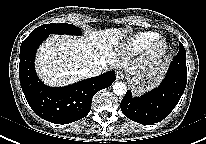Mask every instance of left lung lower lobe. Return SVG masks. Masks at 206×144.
Masks as SVG:
<instances>
[{
	"instance_id": "left-lung-lower-lobe-1",
	"label": "left lung lower lobe",
	"mask_w": 206,
	"mask_h": 144,
	"mask_svg": "<svg viewBox=\"0 0 206 144\" xmlns=\"http://www.w3.org/2000/svg\"><path fill=\"white\" fill-rule=\"evenodd\" d=\"M187 82L186 51L182 44L163 82L154 90L132 97L127 91L121 101L123 114L140 124L150 125L166 118L179 102Z\"/></svg>"
}]
</instances>
